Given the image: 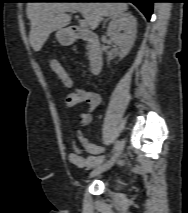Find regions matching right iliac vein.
I'll return each instance as SVG.
<instances>
[{
	"label": "right iliac vein",
	"mask_w": 188,
	"mask_h": 213,
	"mask_svg": "<svg viewBox=\"0 0 188 213\" xmlns=\"http://www.w3.org/2000/svg\"><path fill=\"white\" fill-rule=\"evenodd\" d=\"M124 149V141L121 140L114 151L113 156L111 157L110 160H108L106 163L99 165L97 168H95L89 175V178H93L95 176H98L99 174L109 170L118 160L120 155L122 154V151Z\"/></svg>",
	"instance_id": "1"
}]
</instances>
